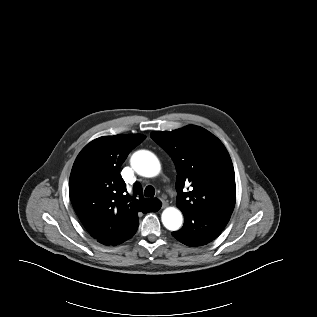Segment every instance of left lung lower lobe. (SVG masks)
<instances>
[{"label":"left lung lower lobe","instance_id":"obj_1","mask_svg":"<svg viewBox=\"0 0 317 317\" xmlns=\"http://www.w3.org/2000/svg\"><path fill=\"white\" fill-rule=\"evenodd\" d=\"M229 219L228 215L211 211L188 214L185 215L184 226L172 235L187 246H203L222 232Z\"/></svg>","mask_w":317,"mask_h":317}]
</instances>
